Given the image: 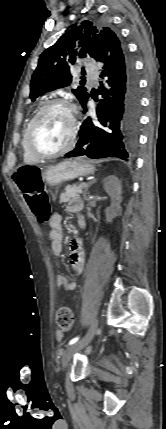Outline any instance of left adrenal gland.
<instances>
[{
	"label": "left adrenal gland",
	"mask_w": 166,
	"mask_h": 429,
	"mask_svg": "<svg viewBox=\"0 0 166 429\" xmlns=\"http://www.w3.org/2000/svg\"><path fill=\"white\" fill-rule=\"evenodd\" d=\"M94 182H96V179L91 180V181L87 184V186L85 187V190H84V199H85V200H86L87 190H88L89 186H90L91 184H93Z\"/></svg>",
	"instance_id": "obj_1"
}]
</instances>
